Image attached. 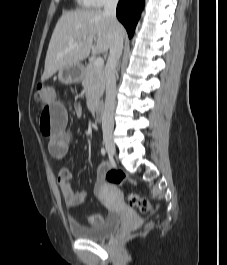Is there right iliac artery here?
I'll use <instances>...</instances> for the list:
<instances>
[{
  "label": "right iliac artery",
  "mask_w": 227,
  "mask_h": 265,
  "mask_svg": "<svg viewBox=\"0 0 227 265\" xmlns=\"http://www.w3.org/2000/svg\"><path fill=\"white\" fill-rule=\"evenodd\" d=\"M105 153H106L105 149L104 148H101V154L102 155H105Z\"/></svg>",
  "instance_id": "82829eb1"
}]
</instances>
